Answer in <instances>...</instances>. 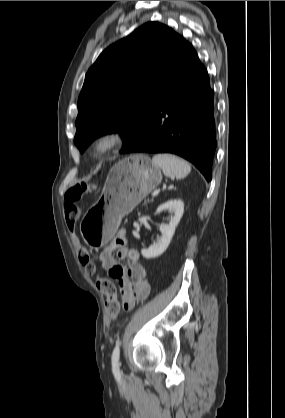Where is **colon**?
I'll use <instances>...</instances> for the list:
<instances>
[{"label": "colon", "mask_w": 285, "mask_h": 418, "mask_svg": "<svg viewBox=\"0 0 285 418\" xmlns=\"http://www.w3.org/2000/svg\"><path fill=\"white\" fill-rule=\"evenodd\" d=\"M82 197V192L77 188H72L68 190L65 194V204H64V216L67 227L71 232L73 241L78 246V258L85 270L91 274L96 273L98 267L91 261L90 253L85 248L79 246L78 239L75 234V229L77 222L80 217V210L78 208V201ZM117 246L119 243L116 244ZM100 285L105 291L106 300H105V309L111 317H116L119 310L120 304L117 300L116 290L112 282L108 279L102 278L99 280ZM143 300V299H140ZM133 302H126L122 304L123 308L131 309Z\"/></svg>", "instance_id": "1"}]
</instances>
